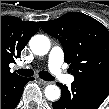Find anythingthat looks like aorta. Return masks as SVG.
I'll use <instances>...</instances> for the list:
<instances>
[{
    "label": "aorta",
    "instance_id": "1",
    "mask_svg": "<svg viewBox=\"0 0 109 109\" xmlns=\"http://www.w3.org/2000/svg\"><path fill=\"white\" fill-rule=\"evenodd\" d=\"M50 45V40L45 35H34L29 41L31 51L39 56L46 55L50 50ZM44 93L50 101H56L61 96V90L57 85L46 86Z\"/></svg>",
    "mask_w": 109,
    "mask_h": 109
}]
</instances>
